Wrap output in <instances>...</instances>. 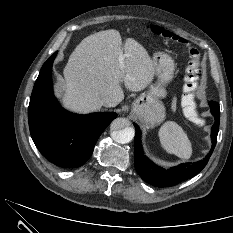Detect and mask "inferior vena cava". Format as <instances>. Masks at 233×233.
Instances as JSON below:
<instances>
[{"instance_id":"602c4592","label":"inferior vena cava","mask_w":233,"mask_h":233,"mask_svg":"<svg viewBox=\"0 0 233 233\" xmlns=\"http://www.w3.org/2000/svg\"><path fill=\"white\" fill-rule=\"evenodd\" d=\"M102 105L106 106V107H113V106H115V103L111 97L107 96V97L102 99Z\"/></svg>"}]
</instances>
